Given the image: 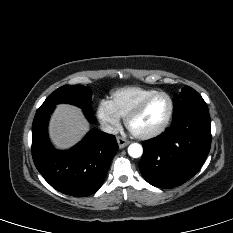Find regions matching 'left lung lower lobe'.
<instances>
[{"instance_id": "0a47b994", "label": "left lung lower lobe", "mask_w": 233, "mask_h": 233, "mask_svg": "<svg viewBox=\"0 0 233 233\" xmlns=\"http://www.w3.org/2000/svg\"><path fill=\"white\" fill-rule=\"evenodd\" d=\"M211 145L208 109H192L173 118L170 128L143 142L139 163L144 179L159 188L179 186L202 167Z\"/></svg>"}]
</instances>
